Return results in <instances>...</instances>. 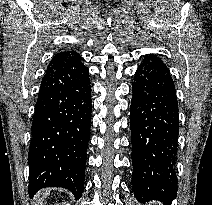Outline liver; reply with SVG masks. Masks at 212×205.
<instances>
[{"label": "liver", "instance_id": "liver-1", "mask_svg": "<svg viewBox=\"0 0 212 205\" xmlns=\"http://www.w3.org/2000/svg\"><path fill=\"white\" fill-rule=\"evenodd\" d=\"M48 194H49V191L45 190V191L39 192L38 196L40 197L41 200H43L44 197H46Z\"/></svg>", "mask_w": 212, "mask_h": 205}]
</instances>
